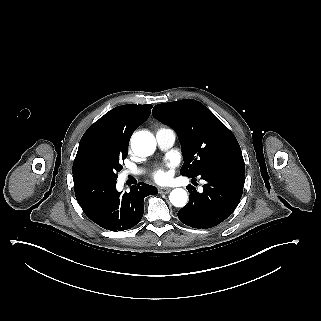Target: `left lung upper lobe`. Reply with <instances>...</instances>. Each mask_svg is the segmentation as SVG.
<instances>
[{
    "label": "left lung upper lobe",
    "instance_id": "1",
    "mask_svg": "<svg viewBox=\"0 0 321 321\" xmlns=\"http://www.w3.org/2000/svg\"><path fill=\"white\" fill-rule=\"evenodd\" d=\"M153 115L178 135L184 159L180 171L183 176L195 177L212 163L242 157L233 133L196 100L158 104L153 109Z\"/></svg>",
    "mask_w": 321,
    "mask_h": 321
}]
</instances>
